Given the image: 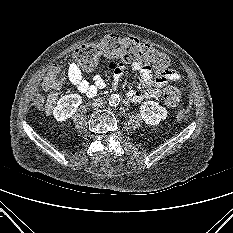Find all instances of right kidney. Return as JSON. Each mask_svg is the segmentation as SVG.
<instances>
[{
  "label": "right kidney",
  "mask_w": 233,
  "mask_h": 233,
  "mask_svg": "<svg viewBox=\"0 0 233 233\" xmlns=\"http://www.w3.org/2000/svg\"><path fill=\"white\" fill-rule=\"evenodd\" d=\"M81 103L82 97L78 94H69L61 97L53 110L54 118L60 122L66 121L75 114Z\"/></svg>",
  "instance_id": "right-kidney-1"
}]
</instances>
